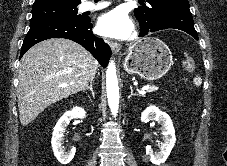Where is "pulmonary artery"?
<instances>
[{
	"label": "pulmonary artery",
	"mask_w": 227,
	"mask_h": 166,
	"mask_svg": "<svg viewBox=\"0 0 227 166\" xmlns=\"http://www.w3.org/2000/svg\"><path fill=\"white\" fill-rule=\"evenodd\" d=\"M100 3H92V2H84L81 4L80 6V9L82 11H95V10H99V9H102V8H105L108 6V3L107 2H104V1H98Z\"/></svg>",
	"instance_id": "pulmonary-artery-1"
}]
</instances>
